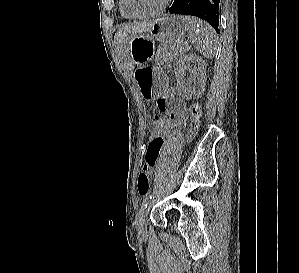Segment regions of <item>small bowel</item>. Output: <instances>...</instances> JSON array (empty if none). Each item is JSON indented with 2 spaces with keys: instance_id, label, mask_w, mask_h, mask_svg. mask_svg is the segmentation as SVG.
I'll list each match as a JSON object with an SVG mask.
<instances>
[{
  "instance_id": "obj_1",
  "label": "small bowel",
  "mask_w": 299,
  "mask_h": 273,
  "mask_svg": "<svg viewBox=\"0 0 299 273\" xmlns=\"http://www.w3.org/2000/svg\"><path fill=\"white\" fill-rule=\"evenodd\" d=\"M157 106L168 117V128L183 123L186 113L185 102L177 95L172 93L167 98L160 99L157 102ZM164 137L165 135L163 134L158 138L149 139L148 145L144 148L145 163L143 171L148 175L153 173L164 144Z\"/></svg>"
}]
</instances>
